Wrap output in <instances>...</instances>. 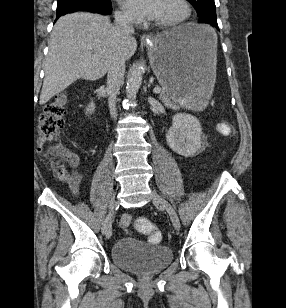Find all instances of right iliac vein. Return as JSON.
<instances>
[{"mask_svg": "<svg viewBox=\"0 0 286 308\" xmlns=\"http://www.w3.org/2000/svg\"><path fill=\"white\" fill-rule=\"evenodd\" d=\"M116 205H117V202H116L115 196H113L111 198V200H110V203H109V212L110 213L115 209ZM105 234H106V237L108 239L112 236V223H111V220H109L108 223L106 224Z\"/></svg>", "mask_w": 286, "mask_h": 308, "instance_id": "63e3f726", "label": "right iliac vein"}]
</instances>
